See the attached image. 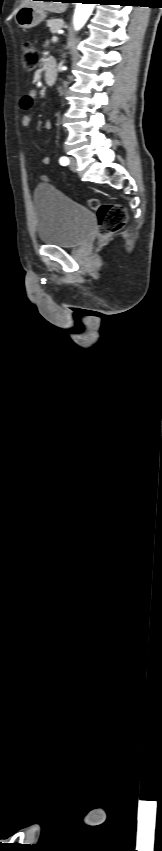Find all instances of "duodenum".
<instances>
[{
    "instance_id": "410a0bca",
    "label": "duodenum",
    "mask_w": 162,
    "mask_h": 851,
    "mask_svg": "<svg viewBox=\"0 0 162 851\" xmlns=\"http://www.w3.org/2000/svg\"><path fill=\"white\" fill-rule=\"evenodd\" d=\"M57 77L55 61L47 59L44 65V80L47 85H52Z\"/></svg>"
}]
</instances>
